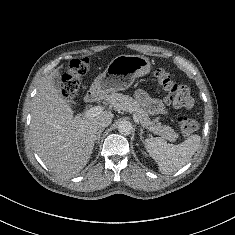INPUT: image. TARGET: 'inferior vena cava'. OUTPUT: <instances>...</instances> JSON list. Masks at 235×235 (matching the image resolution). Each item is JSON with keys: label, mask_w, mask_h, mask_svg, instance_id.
I'll return each mask as SVG.
<instances>
[{"label": "inferior vena cava", "mask_w": 235, "mask_h": 235, "mask_svg": "<svg viewBox=\"0 0 235 235\" xmlns=\"http://www.w3.org/2000/svg\"><path fill=\"white\" fill-rule=\"evenodd\" d=\"M111 122H112V119H111V118H109V117H103V118L99 119V121H98V123H97V127H98L99 129L104 128V127H107V126H109V125L111 124Z\"/></svg>", "instance_id": "602c4592"}]
</instances>
